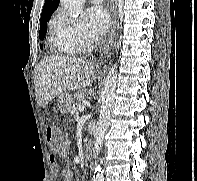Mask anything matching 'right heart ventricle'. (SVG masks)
<instances>
[{"label":"right heart ventricle","mask_w":197,"mask_h":181,"mask_svg":"<svg viewBox=\"0 0 197 181\" xmlns=\"http://www.w3.org/2000/svg\"><path fill=\"white\" fill-rule=\"evenodd\" d=\"M49 43L51 52L56 55L74 56L78 53L58 18L51 21Z\"/></svg>","instance_id":"e07e8e85"}]
</instances>
